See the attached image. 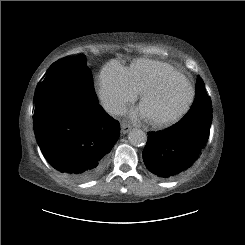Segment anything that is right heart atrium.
Masks as SVG:
<instances>
[{"mask_svg": "<svg viewBox=\"0 0 245 245\" xmlns=\"http://www.w3.org/2000/svg\"><path fill=\"white\" fill-rule=\"evenodd\" d=\"M97 89L103 104L116 115L122 114L138 96L129 80L127 68L116 61L108 63L103 68Z\"/></svg>", "mask_w": 245, "mask_h": 245, "instance_id": "right-heart-atrium-1", "label": "right heart atrium"}]
</instances>
